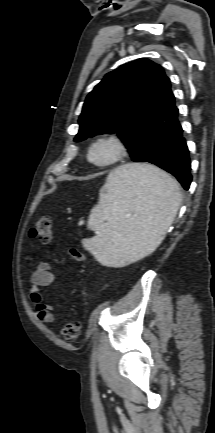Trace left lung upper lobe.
Masks as SVG:
<instances>
[{"label":"left lung upper lobe","instance_id":"left-lung-upper-lobe-1","mask_svg":"<svg viewBox=\"0 0 215 433\" xmlns=\"http://www.w3.org/2000/svg\"><path fill=\"white\" fill-rule=\"evenodd\" d=\"M175 109L163 68L146 58L138 59L106 74L90 92L74 141L117 132L133 161L153 164Z\"/></svg>","mask_w":215,"mask_h":433}]
</instances>
